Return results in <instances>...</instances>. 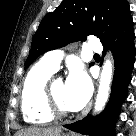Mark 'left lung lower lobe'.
I'll use <instances>...</instances> for the list:
<instances>
[{
  "label": "left lung lower lobe",
  "mask_w": 136,
  "mask_h": 136,
  "mask_svg": "<svg viewBox=\"0 0 136 136\" xmlns=\"http://www.w3.org/2000/svg\"><path fill=\"white\" fill-rule=\"evenodd\" d=\"M133 19L128 14L116 31L102 42L104 49L111 48L115 60L112 92L107 107L95 118L88 116L75 123L64 125L74 132L91 136H115L114 128L122 103L127 97L134 66Z\"/></svg>",
  "instance_id": "0a47b994"
}]
</instances>
